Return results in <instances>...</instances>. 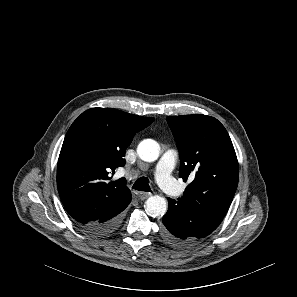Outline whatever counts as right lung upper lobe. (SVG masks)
Returning <instances> with one entry per match:
<instances>
[{
  "label": "right lung upper lobe",
  "instance_id": "obj_1",
  "mask_svg": "<svg viewBox=\"0 0 297 297\" xmlns=\"http://www.w3.org/2000/svg\"><path fill=\"white\" fill-rule=\"evenodd\" d=\"M155 119L113 108H91L69 128L58 159L57 187L62 203L80 225L125 209L131 192L109 174L125 164L134 134Z\"/></svg>",
  "mask_w": 297,
  "mask_h": 297
}]
</instances>
